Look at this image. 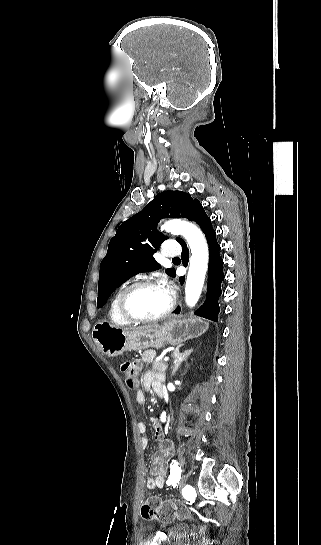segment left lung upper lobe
Wrapping results in <instances>:
<instances>
[{
    "label": "left lung upper lobe",
    "mask_w": 321,
    "mask_h": 545,
    "mask_svg": "<svg viewBox=\"0 0 321 545\" xmlns=\"http://www.w3.org/2000/svg\"><path fill=\"white\" fill-rule=\"evenodd\" d=\"M197 199L182 191H164L155 196L142 211L123 222L110 240L101 262L97 307H101L122 283L141 272L159 268L153 254L167 238L156 230L161 218L191 219L198 207ZM180 243L181 238H176ZM166 273L175 276L174 268Z\"/></svg>",
    "instance_id": "left-lung-upper-lobe-1"
}]
</instances>
